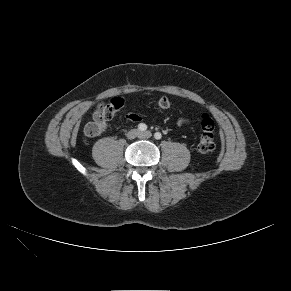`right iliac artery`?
Here are the masks:
<instances>
[{"instance_id":"right-iliac-artery-1","label":"right iliac artery","mask_w":291,"mask_h":291,"mask_svg":"<svg viewBox=\"0 0 291 291\" xmlns=\"http://www.w3.org/2000/svg\"><path fill=\"white\" fill-rule=\"evenodd\" d=\"M138 129H139L140 131H145V130H147V125L144 124V123H140V124L138 125Z\"/></svg>"}]
</instances>
